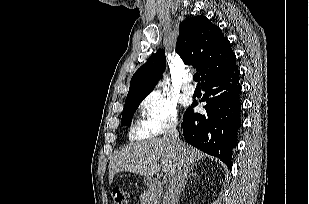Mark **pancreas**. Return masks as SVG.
Instances as JSON below:
<instances>
[{
	"label": "pancreas",
	"instance_id": "1",
	"mask_svg": "<svg viewBox=\"0 0 309 204\" xmlns=\"http://www.w3.org/2000/svg\"><path fill=\"white\" fill-rule=\"evenodd\" d=\"M146 194H149V195H152V196H154V193H153V191H148Z\"/></svg>",
	"mask_w": 309,
	"mask_h": 204
}]
</instances>
